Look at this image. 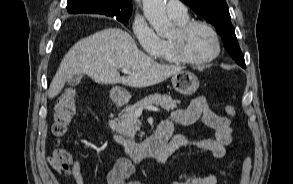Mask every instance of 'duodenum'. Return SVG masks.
Wrapping results in <instances>:
<instances>
[{"instance_id":"obj_1","label":"duodenum","mask_w":293,"mask_h":184,"mask_svg":"<svg viewBox=\"0 0 293 184\" xmlns=\"http://www.w3.org/2000/svg\"><path fill=\"white\" fill-rule=\"evenodd\" d=\"M113 102L116 106H122L126 102V97L120 94H114ZM104 125L113 141L133 161L156 158L166 152L171 145L172 127L171 124L165 120L158 125L156 131L151 136L142 142H134L122 137L115 130L111 120L105 121Z\"/></svg>"}]
</instances>
